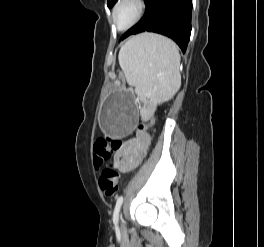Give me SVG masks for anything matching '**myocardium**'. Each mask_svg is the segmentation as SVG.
<instances>
[{
    "mask_svg": "<svg viewBox=\"0 0 264 247\" xmlns=\"http://www.w3.org/2000/svg\"><path fill=\"white\" fill-rule=\"evenodd\" d=\"M126 3L132 4L135 12L133 18L126 25L121 26L118 24L116 20V16L121 6H123ZM145 10H146L145 0H117L112 8L111 21L118 30H127L139 22V20L143 17Z\"/></svg>",
    "mask_w": 264,
    "mask_h": 247,
    "instance_id": "1",
    "label": "myocardium"
}]
</instances>
